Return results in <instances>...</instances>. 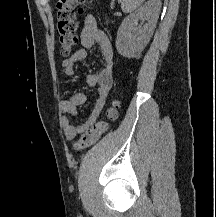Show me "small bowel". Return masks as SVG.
<instances>
[{"instance_id": "small-bowel-1", "label": "small bowel", "mask_w": 216, "mask_h": 217, "mask_svg": "<svg viewBox=\"0 0 216 217\" xmlns=\"http://www.w3.org/2000/svg\"><path fill=\"white\" fill-rule=\"evenodd\" d=\"M80 43L82 47L69 58L62 61L61 67L64 74L68 77H73L75 75L76 64L85 59L89 50L95 45H98L101 51L102 67L99 72L85 77L88 86L97 87L98 91L95 105L84 122L73 124L68 116L77 115V107L85 104L87 101L85 93H73L59 103V109L64 114L61 120V128L67 141H71L84 133L98 120L113 85L114 60L112 45L106 34L98 28L97 22L92 15H88L84 19L83 28L80 33ZM77 84L78 80H73L71 87H76Z\"/></svg>"}]
</instances>
